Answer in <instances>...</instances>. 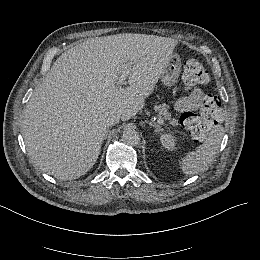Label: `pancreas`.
<instances>
[{
  "label": "pancreas",
  "instance_id": "pancreas-1",
  "mask_svg": "<svg viewBox=\"0 0 260 260\" xmlns=\"http://www.w3.org/2000/svg\"><path fill=\"white\" fill-rule=\"evenodd\" d=\"M170 107L166 104H161L159 107H157L158 110V116L164 120L168 121V125L177 127L179 125L178 120L175 118H172V114L169 111Z\"/></svg>",
  "mask_w": 260,
  "mask_h": 260
}]
</instances>
